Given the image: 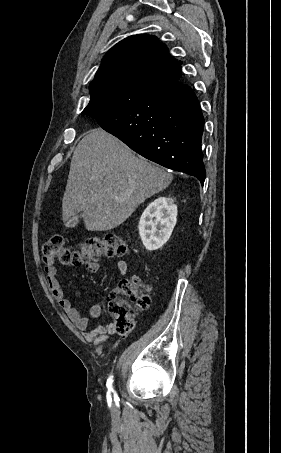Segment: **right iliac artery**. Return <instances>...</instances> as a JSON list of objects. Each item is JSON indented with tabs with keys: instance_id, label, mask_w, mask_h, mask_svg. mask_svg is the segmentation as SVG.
Instances as JSON below:
<instances>
[{
	"instance_id": "1",
	"label": "right iliac artery",
	"mask_w": 281,
	"mask_h": 453,
	"mask_svg": "<svg viewBox=\"0 0 281 453\" xmlns=\"http://www.w3.org/2000/svg\"><path fill=\"white\" fill-rule=\"evenodd\" d=\"M112 378H113V376H110V377L108 378V380H107V383H106V386H107V388H108V391H112V390H113V388H112V382H113Z\"/></svg>"
}]
</instances>
